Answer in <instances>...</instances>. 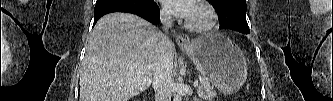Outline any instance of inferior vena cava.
<instances>
[{
    "instance_id": "inferior-vena-cava-1",
    "label": "inferior vena cava",
    "mask_w": 333,
    "mask_h": 101,
    "mask_svg": "<svg viewBox=\"0 0 333 101\" xmlns=\"http://www.w3.org/2000/svg\"><path fill=\"white\" fill-rule=\"evenodd\" d=\"M163 30L168 33L173 19L169 10L160 12ZM173 69V44L167 35H162L157 48V63L153 76V88L155 90V101H171V85Z\"/></svg>"
}]
</instances>
